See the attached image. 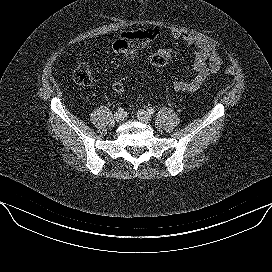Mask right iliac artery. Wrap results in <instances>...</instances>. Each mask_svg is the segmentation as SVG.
Returning <instances> with one entry per match:
<instances>
[{"label": "right iliac artery", "mask_w": 272, "mask_h": 272, "mask_svg": "<svg viewBox=\"0 0 272 272\" xmlns=\"http://www.w3.org/2000/svg\"><path fill=\"white\" fill-rule=\"evenodd\" d=\"M123 111H124V109H123V108H121V107H120V108H118V112H119V113H123Z\"/></svg>", "instance_id": "right-iliac-artery-1"}]
</instances>
